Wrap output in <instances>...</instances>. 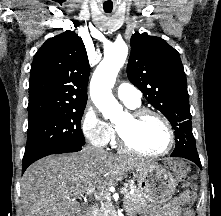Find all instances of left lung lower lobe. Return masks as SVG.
Masks as SVG:
<instances>
[{
	"mask_svg": "<svg viewBox=\"0 0 221 216\" xmlns=\"http://www.w3.org/2000/svg\"><path fill=\"white\" fill-rule=\"evenodd\" d=\"M171 157L186 158L196 163L199 166V168H202L198 153L195 152L193 149H191L190 146H186V145L183 146L180 143L177 144L173 153L171 154Z\"/></svg>",
	"mask_w": 221,
	"mask_h": 216,
	"instance_id": "1",
	"label": "left lung lower lobe"
}]
</instances>
